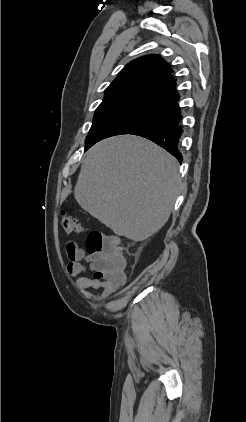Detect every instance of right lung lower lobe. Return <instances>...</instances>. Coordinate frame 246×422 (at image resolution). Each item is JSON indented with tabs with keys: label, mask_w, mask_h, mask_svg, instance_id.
<instances>
[{
	"label": "right lung lower lobe",
	"mask_w": 246,
	"mask_h": 422,
	"mask_svg": "<svg viewBox=\"0 0 246 422\" xmlns=\"http://www.w3.org/2000/svg\"><path fill=\"white\" fill-rule=\"evenodd\" d=\"M178 100L161 108V115L159 117L135 129L129 134L142 136L155 142L166 149L179 161H182L181 153L177 147L179 138L183 132L182 128L179 126L182 116L180 114V107L177 103Z\"/></svg>",
	"instance_id": "1"
}]
</instances>
